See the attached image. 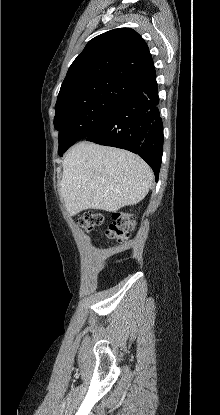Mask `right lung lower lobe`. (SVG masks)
Returning <instances> with one entry per match:
<instances>
[{"label":"right lung lower lobe","instance_id":"98d812e1","mask_svg":"<svg viewBox=\"0 0 220 415\" xmlns=\"http://www.w3.org/2000/svg\"><path fill=\"white\" fill-rule=\"evenodd\" d=\"M156 77L115 105L97 131L86 140L139 154L158 181L163 153V124L160 118ZM68 148L58 151L62 154Z\"/></svg>","mask_w":220,"mask_h":415}]
</instances>
